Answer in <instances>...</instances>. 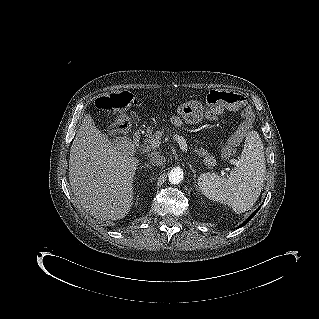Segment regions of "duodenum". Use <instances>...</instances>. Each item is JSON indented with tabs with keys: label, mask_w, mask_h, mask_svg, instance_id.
<instances>
[{
	"label": "duodenum",
	"mask_w": 319,
	"mask_h": 319,
	"mask_svg": "<svg viewBox=\"0 0 319 319\" xmlns=\"http://www.w3.org/2000/svg\"><path fill=\"white\" fill-rule=\"evenodd\" d=\"M141 137H142V132L140 129H137L134 131L133 136H132V141L134 146L138 147L141 141Z\"/></svg>",
	"instance_id": "duodenum-1"
}]
</instances>
